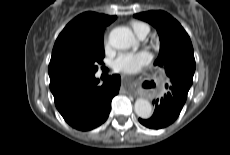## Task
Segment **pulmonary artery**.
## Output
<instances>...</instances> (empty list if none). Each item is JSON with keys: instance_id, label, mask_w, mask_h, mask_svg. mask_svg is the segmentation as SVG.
Listing matches in <instances>:
<instances>
[{"instance_id": "e3ab8cb5", "label": "pulmonary artery", "mask_w": 230, "mask_h": 155, "mask_svg": "<svg viewBox=\"0 0 230 155\" xmlns=\"http://www.w3.org/2000/svg\"><path fill=\"white\" fill-rule=\"evenodd\" d=\"M147 34H148V33L142 34V35L140 36V38H142V39L145 38V37L147 36Z\"/></svg>"}]
</instances>
